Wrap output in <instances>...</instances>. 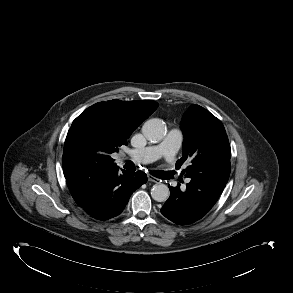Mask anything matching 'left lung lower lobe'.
I'll use <instances>...</instances> for the list:
<instances>
[{
	"instance_id": "left-lung-lower-lobe-1",
	"label": "left lung lower lobe",
	"mask_w": 293,
	"mask_h": 293,
	"mask_svg": "<svg viewBox=\"0 0 293 293\" xmlns=\"http://www.w3.org/2000/svg\"><path fill=\"white\" fill-rule=\"evenodd\" d=\"M225 185L223 182L194 177L186 184V190H181L180 185L169 186L170 197L161 208V213L176 224H191L213 207Z\"/></svg>"
}]
</instances>
